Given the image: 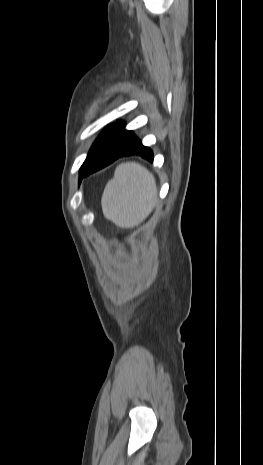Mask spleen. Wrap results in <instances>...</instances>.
<instances>
[{
	"label": "spleen",
	"instance_id": "1",
	"mask_svg": "<svg viewBox=\"0 0 263 465\" xmlns=\"http://www.w3.org/2000/svg\"><path fill=\"white\" fill-rule=\"evenodd\" d=\"M157 197L153 175L137 163L119 165L103 192L105 218L120 228L140 224L152 211Z\"/></svg>",
	"mask_w": 263,
	"mask_h": 465
}]
</instances>
